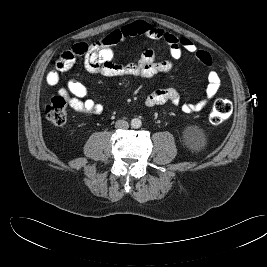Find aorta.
Wrapping results in <instances>:
<instances>
[{
	"label": "aorta",
	"mask_w": 267,
	"mask_h": 267,
	"mask_svg": "<svg viewBox=\"0 0 267 267\" xmlns=\"http://www.w3.org/2000/svg\"><path fill=\"white\" fill-rule=\"evenodd\" d=\"M141 125H142V122L139 118H134L131 120V127L132 128L137 129V128H140Z\"/></svg>",
	"instance_id": "aorta-1"
}]
</instances>
